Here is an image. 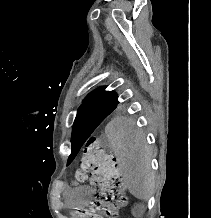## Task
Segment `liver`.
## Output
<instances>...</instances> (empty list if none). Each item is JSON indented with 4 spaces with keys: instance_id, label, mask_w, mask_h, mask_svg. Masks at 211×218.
<instances>
[{
    "instance_id": "obj_1",
    "label": "liver",
    "mask_w": 211,
    "mask_h": 218,
    "mask_svg": "<svg viewBox=\"0 0 211 218\" xmlns=\"http://www.w3.org/2000/svg\"><path fill=\"white\" fill-rule=\"evenodd\" d=\"M106 138L116 156L122 180L130 194L148 200L155 188L150 168L151 152L145 134L136 130L135 122L126 116H116L105 128Z\"/></svg>"
}]
</instances>
